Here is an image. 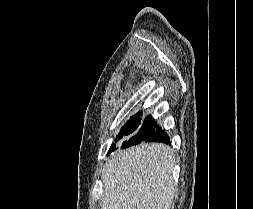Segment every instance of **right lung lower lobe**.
<instances>
[{"mask_svg": "<svg viewBox=\"0 0 253 209\" xmlns=\"http://www.w3.org/2000/svg\"><path fill=\"white\" fill-rule=\"evenodd\" d=\"M142 139L144 142H161L165 144H170L169 136L157 124L151 132L143 134Z\"/></svg>", "mask_w": 253, "mask_h": 209, "instance_id": "98d812e1", "label": "right lung lower lobe"}]
</instances>
